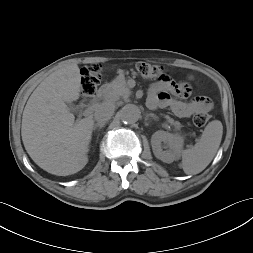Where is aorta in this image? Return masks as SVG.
Segmentation results:
<instances>
[{
  "label": "aorta",
  "instance_id": "obj_1",
  "mask_svg": "<svg viewBox=\"0 0 253 253\" xmlns=\"http://www.w3.org/2000/svg\"><path fill=\"white\" fill-rule=\"evenodd\" d=\"M140 109L134 104L125 105L119 113L120 119L125 123H135L140 118Z\"/></svg>",
  "mask_w": 253,
  "mask_h": 253
}]
</instances>
